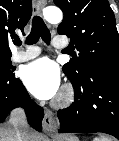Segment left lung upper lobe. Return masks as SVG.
Wrapping results in <instances>:
<instances>
[{"label":"left lung upper lobe","mask_w":119,"mask_h":141,"mask_svg":"<svg viewBox=\"0 0 119 141\" xmlns=\"http://www.w3.org/2000/svg\"><path fill=\"white\" fill-rule=\"evenodd\" d=\"M64 14L58 33L71 38L77 49L63 66L71 81L92 73L119 72L118 32L115 16L107 0H54Z\"/></svg>","instance_id":"obj_1"}]
</instances>
